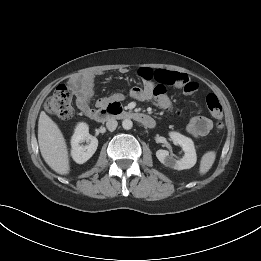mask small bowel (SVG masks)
I'll list each match as a JSON object with an SVG mask.
<instances>
[{"instance_id": "1", "label": "small bowel", "mask_w": 261, "mask_h": 261, "mask_svg": "<svg viewBox=\"0 0 261 261\" xmlns=\"http://www.w3.org/2000/svg\"><path fill=\"white\" fill-rule=\"evenodd\" d=\"M97 73L85 72L72 78L69 81L72 92L75 95L77 107L88 116L93 111L90 102L94 94L93 82ZM139 75L142 85L132 88L130 94L136 100L145 101L155 99L163 108H170L171 102L165 93V85H174L181 88L186 94H193L198 90V83L191 80L187 74L168 70L151 71L150 69H140ZM154 79L158 84H155ZM121 94L115 95L116 100H121ZM101 99L100 102H103ZM212 129V122L203 116H196L187 125V131L193 137L206 136Z\"/></svg>"}]
</instances>
